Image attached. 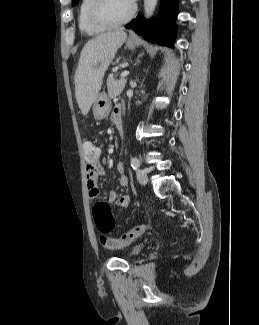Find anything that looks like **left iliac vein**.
<instances>
[{
    "label": "left iliac vein",
    "instance_id": "obj_1",
    "mask_svg": "<svg viewBox=\"0 0 259 325\" xmlns=\"http://www.w3.org/2000/svg\"><path fill=\"white\" fill-rule=\"evenodd\" d=\"M136 174L140 184L145 185L148 182V176L146 170L138 169Z\"/></svg>",
    "mask_w": 259,
    "mask_h": 325
}]
</instances>
